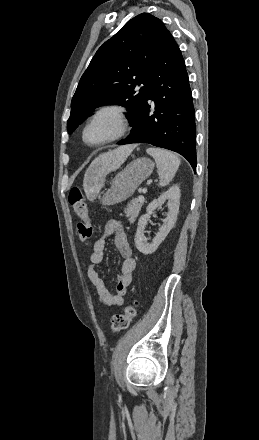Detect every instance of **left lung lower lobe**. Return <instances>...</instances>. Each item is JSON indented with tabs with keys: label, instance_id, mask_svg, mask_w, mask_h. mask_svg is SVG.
<instances>
[{
	"label": "left lung lower lobe",
	"instance_id": "1",
	"mask_svg": "<svg viewBox=\"0 0 259 440\" xmlns=\"http://www.w3.org/2000/svg\"><path fill=\"white\" fill-rule=\"evenodd\" d=\"M153 100L155 111L150 114ZM130 135L118 144L149 143L175 151L196 169L195 119L185 62L172 35L153 70L146 102L132 124Z\"/></svg>",
	"mask_w": 259,
	"mask_h": 440
}]
</instances>
